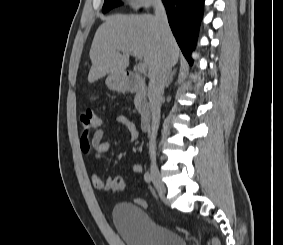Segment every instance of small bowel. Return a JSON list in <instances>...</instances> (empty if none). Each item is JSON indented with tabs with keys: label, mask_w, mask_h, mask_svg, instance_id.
<instances>
[{
	"label": "small bowel",
	"mask_w": 283,
	"mask_h": 245,
	"mask_svg": "<svg viewBox=\"0 0 283 245\" xmlns=\"http://www.w3.org/2000/svg\"><path fill=\"white\" fill-rule=\"evenodd\" d=\"M116 122L119 125L124 126L128 131V138L131 142H134L139 137V130L136 125L131 122L127 117L119 115L116 117ZM81 147L85 153H94L96 159H99L102 154L109 151L111 143L104 139V130L98 129L93 135L90 132L81 133ZM133 174H139L142 172V166L139 163L134 164L131 167ZM91 181L95 189L99 191L112 190L113 177L106 180L101 179L98 175L92 174Z\"/></svg>",
	"instance_id": "obj_1"
}]
</instances>
